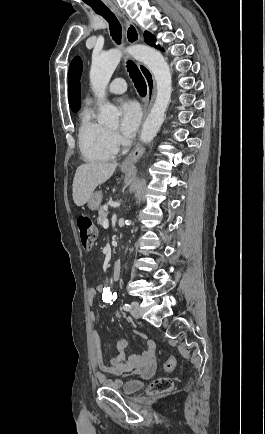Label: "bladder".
Returning a JSON list of instances; mask_svg holds the SVG:
<instances>
[{"label": "bladder", "mask_w": 265, "mask_h": 434, "mask_svg": "<svg viewBox=\"0 0 265 434\" xmlns=\"http://www.w3.org/2000/svg\"><path fill=\"white\" fill-rule=\"evenodd\" d=\"M142 388V383L136 380L126 382L122 388L121 392L125 395H133Z\"/></svg>", "instance_id": "31cf9c89"}]
</instances>
